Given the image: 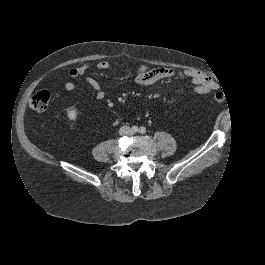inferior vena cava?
<instances>
[{
	"mask_svg": "<svg viewBox=\"0 0 265 265\" xmlns=\"http://www.w3.org/2000/svg\"><path fill=\"white\" fill-rule=\"evenodd\" d=\"M126 128H127L128 131H131V130L129 129V127H126Z\"/></svg>",
	"mask_w": 265,
	"mask_h": 265,
	"instance_id": "obj_1",
	"label": "inferior vena cava"
}]
</instances>
